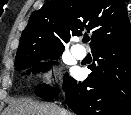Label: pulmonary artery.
I'll return each instance as SVG.
<instances>
[{
	"label": "pulmonary artery",
	"instance_id": "e3ab8cb5",
	"mask_svg": "<svg viewBox=\"0 0 131 115\" xmlns=\"http://www.w3.org/2000/svg\"><path fill=\"white\" fill-rule=\"evenodd\" d=\"M71 52L77 59H83L86 55L85 50L78 48V47H73L71 49Z\"/></svg>",
	"mask_w": 131,
	"mask_h": 115
}]
</instances>
